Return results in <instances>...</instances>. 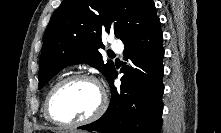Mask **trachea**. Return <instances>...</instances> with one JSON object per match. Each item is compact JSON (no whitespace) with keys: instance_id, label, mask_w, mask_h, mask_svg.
Listing matches in <instances>:
<instances>
[{"instance_id":"3493384b","label":"trachea","mask_w":221,"mask_h":133,"mask_svg":"<svg viewBox=\"0 0 221 133\" xmlns=\"http://www.w3.org/2000/svg\"><path fill=\"white\" fill-rule=\"evenodd\" d=\"M108 56L113 57V56H115V54L114 53H108Z\"/></svg>"}]
</instances>
